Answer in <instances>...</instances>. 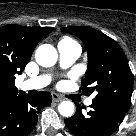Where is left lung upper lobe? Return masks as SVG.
<instances>
[{
  "label": "left lung upper lobe",
  "instance_id": "5c2ea615",
  "mask_svg": "<svg viewBox=\"0 0 136 136\" xmlns=\"http://www.w3.org/2000/svg\"><path fill=\"white\" fill-rule=\"evenodd\" d=\"M63 31L79 37L88 52V69L81 90L94 100L129 107L133 77L127 59L116 41L90 27H65ZM90 86V87H89Z\"/></svg>",
  "mask_w": 136,
  "mask_h": 136
}]
</instances>
